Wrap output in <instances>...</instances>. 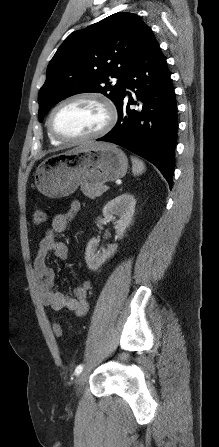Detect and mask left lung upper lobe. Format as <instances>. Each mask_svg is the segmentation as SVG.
Instances as JSON below:
<instances>
[{"instance_id": "5c2ea615", "label": "left lung upper lobe", "mask_w": 219, "mask_h": 447, "mask_svg": "<svg viewBox=\"0 0 219 447\" xmlns=\"http://www.w3.org/2000/svg\"><path fill=\"white\" fill-rule=\"evenodd\" d=\"M152 35L139 16L127 12L71 33L48 65L38 98L40 122L52 106L78 93L100 92L118 106L128 70Z\"/></svg>"}]
</instances>
